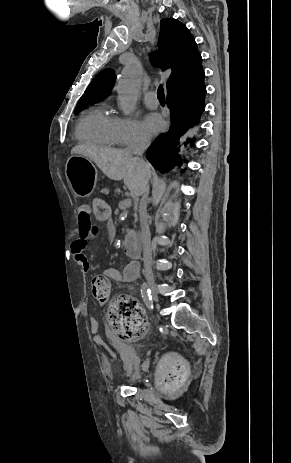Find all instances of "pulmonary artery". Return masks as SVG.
I'll use <instances>...</instances> for the list:
<instances>
[{
    "label": "pulmonary artery",
    "instance_id": "pulmonary-artery-1",
    "mask_svg": "<svg viewBox=\"0 0 291 463\" xmlns=\"http://www.w3.org/2000/svg\"><path fill=\"white\" fill-rule=\"evenodd\" d=\"M144 102L148 107L155 108L158 106L157 94L153 91L147 92L144 96Z\"/></svg>",
    "mask_w": 291,
    "mask_h": 463
}]
</instances>
